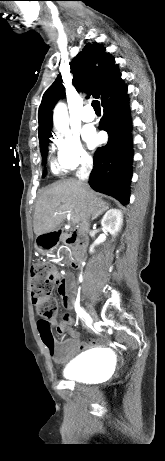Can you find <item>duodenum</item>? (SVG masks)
Returning <instances> with one entry per match:
<instances>
[{
	"mask_svg": "<svg viewBox=\"0 0 165 461\" xmlns=\"http://www.w3.org/2000/svg\"><path fill=\"white\" fill-rule=\"evenodd\" d=\"M45 238L54 240V241H62L66 245L74 246L75 247V256L72 265L79 269L81 266L82 261L85 257V249L86 244L82 236L76 231H66L64 229H58L50 234H47ZM69 288V284H67V290Z\"/></svg>",
	"mask_w": 165,
	"mask_h": 461,
	"instance_id": "1",
	"label": "duodenum"
}]
</instances>
